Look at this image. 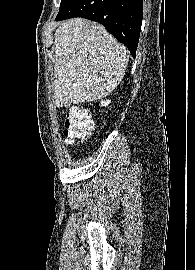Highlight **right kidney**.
Segmentation results:
<instances>
[{"instance_id":"ca27d5eb","label":"right kidney","mask_w":195,"mask_h":270,"mask_svg":"<svg viewBox=\"0 0 195 270\" xmlns=\"http://www.w3.org/2000/svg\"><path fill=\"white\" fill-rule=\"evenodd\" d=\"M110 103V100L101 101V106H108Z\"/></svg>"}]
</instances>
